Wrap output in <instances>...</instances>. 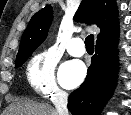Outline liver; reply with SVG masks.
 Returning a JSON list of instances; mask_svg holds the SVG:
<instances>
[{"label":"liver","mask_w":131,"mask_h":115,"mask_svg":"<svg viewBox=\"0 0 131 115\" xmlns=\"http://www.w3.org/2000/svg\"><path fill=\"white\" fill-rule=\"evenodd\" d=\"M3 115H58L57 111L48 104L20 100L11 104Z\"/></svg>","instance_id":"obj_1"}]
</instances>
